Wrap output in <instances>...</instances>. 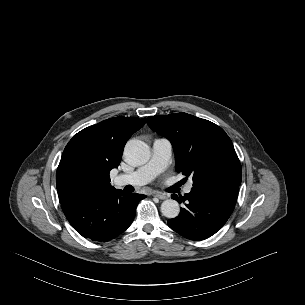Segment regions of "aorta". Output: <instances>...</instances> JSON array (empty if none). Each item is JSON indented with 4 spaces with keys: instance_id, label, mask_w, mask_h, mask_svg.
Listing matches in <instances>:
<instances>
[{
    "instance_id": "obj_1",
    "label": "aorta",
    "mask_w": 305,
    "mask_h": 305,
    "mask_svg": "<svg viewBox=\"0 0 305 305\" xmlns=\"http://www.w3.org/2000/svg\"><path fill=\"white\" fill-rule=\"evenodd\" d=\"M126 159L134 165H142L150 158L149 146L140 140H129L124 148ZM161 212L166 218L172 219L179 215L180 207L177 201L167 199L161 204Z\"/></svg>"
}]
</instances>
